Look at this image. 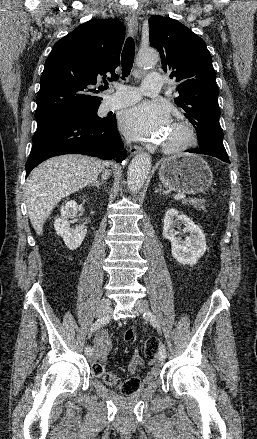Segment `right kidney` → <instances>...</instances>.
Wrapping results in <instances>:
<instances>
[{
  "label": "right kidney",
  "mask_w": 257,
  "mask_h": 439,
  "mask_svg": "<svg viewBox=\"0 0 257 439\" xmlns=\"http://www.w3.org/2000/svg\"><path fill=\"white\" fill-rule=\"evenodd\" d=\"M78 205L74 200L68 201L61 207V215L54 221V227L57 235L61 236L66 246L71 249H77L83 242L87 229L85 227L72 230L70 221L77 214Z\"/></svg>",
  "instance_id": "obj_1"
}]
</instances>
